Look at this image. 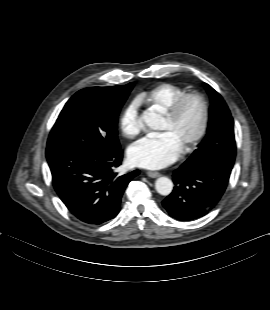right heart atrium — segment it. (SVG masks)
<instances>
[{
	"instance_id": "d8ad5b80",
	"label": "right heart atrium",
	"mask_w": 270,
	"mask_h": 310,
	"mask_svg": "<svg viewBox=\"0 0 270 310\" xmlns=\"http://www.w3.org/2000/svg\"><path fill=\"white\" fill-rule=\"evenodd\" d=\"M120 128L127 137H134L142 129L140 102L137 99L130 101L120 116Z\"/></svg>"
}]
</instances>
